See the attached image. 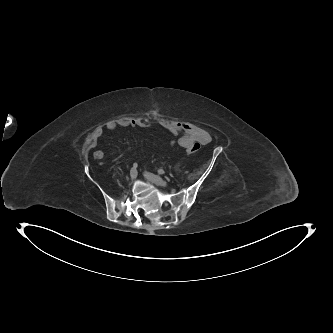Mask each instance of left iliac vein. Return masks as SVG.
Segmentation results:
<instances>
[{
  "mask_svg": "<svg viewBox=\"0 0 333 333\" xmlns=\"http://www.w3.org/2000/svg\"><path fill=\"white\" fill-rule=\"evenodd\" d=\"M144 176L152 183L158 185V186H162V187H165L167 186L168 182L164 179H162L161 177L155 175V174H152V173H149V172H144Z\"/></svg>",
  "mask_w": 333,
  "mask_h": 333,
  "instance_id": "left-iliac-vein-1",
  "label": "left iliac vein"
}]
</instances>
